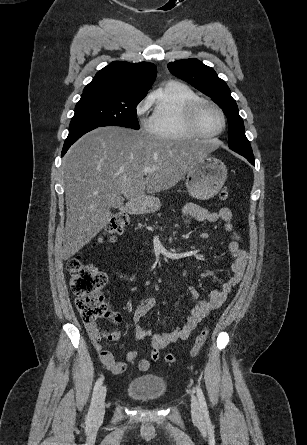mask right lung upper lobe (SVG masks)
Here are the masks:
<instances>
[{
	"label": "right lung upper lobe",
	"mask_w": 307,
	"mask_h": 445,
	"mask_svg": "<svg viewBox=\"0 0 307 445\" xmlns=\"http://www.w3.org/2000/svg\"><path fill=\"white\" fill-rule=\"evenodd\" d=\"M152 63L114 61L95 75L82 96L117 95L145 97L156 78Z\"/></svg>",
	"instance_id": "obj_1"
}]
</instances>
